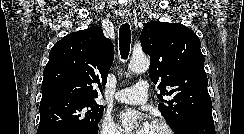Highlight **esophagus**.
Wrapping results in <instances>:
<instances>
[{
	"mask_svg": "<svg viewBox=\"0 0 244 134\" xmlns=\"http://www.w3.org/2000/svg\"><path fill=\"white\" fill-rule=\"evenodd\" d=\"M120 17H121L122 21L128 20V14L126 12H121Z\"/></svg>",
	"mask_w": 244,
	"mask_h": 134,
	"instance_id": "esophagus-1",
	"label": "esophagus"
}]
</instances>
